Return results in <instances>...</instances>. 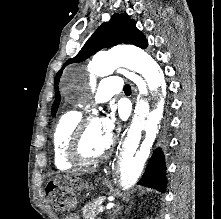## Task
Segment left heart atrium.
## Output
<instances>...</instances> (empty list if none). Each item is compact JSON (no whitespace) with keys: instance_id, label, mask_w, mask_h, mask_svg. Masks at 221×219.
Wrapping results in <instances>:
<instances>
[{"instance_id":"left-heart-atrium-1","label":"left heart atrium","mask_w":221,"mask_h":219,"mask_svg":"<svg viewBox=\"0 0 221 219\" xmlns=\"http://www.w3.org/2000/svg\"><path fill=\"white\" fill-rule=\"evenodd\" d=\"M100 125L101 128L103 129V131L107 134V135H111L115 125H116V119L113 115H110L106 118H103L102 120H100Z\"/></svg>"}]
</instances>
